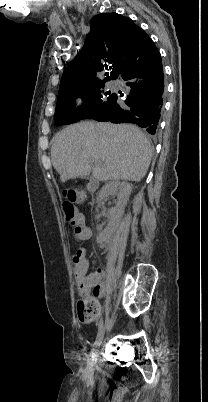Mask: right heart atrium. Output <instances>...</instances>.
<instances>
[{
    "mask_svg": "<svg viewBox=\"0 0 208 402\" xmlns=\"http://www.w3.org/2000/svg\"><path fill=\"white\" fill-rule=\"evenodd\" d=\"M83 99H84L83 95L79 94L74 98V101H75L76 105H80V104H82Z\"/></svg>",
    "mask_w": 208,
    "mask_h": 402,
    "instance_id": "obj_1",
    "label": "right heart atrium"
}]
</instances>
